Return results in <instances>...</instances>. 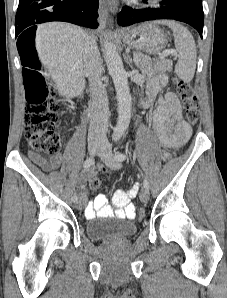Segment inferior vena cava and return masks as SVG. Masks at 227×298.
Here are the masks:
<instances>
[{
    "label": "inferior vena cava",
    "mask_w": 227,
    "mask_h": 298,
    "mask_svg": "<svg viewBox=\"0 0 227 298\" xmlns=\"http://www.w3.org/2000/svg\"><path fill=\"white\" fill-rule=\"evenodd\" d=\"M84 72L89 79L92 110L88 138L103 142L108 126V97L102 83L103 66L97 43L89 37L84 49Z\"/></svg>",
    "instance_id": "inferior-vena-cava-1"
}]
</instances>
